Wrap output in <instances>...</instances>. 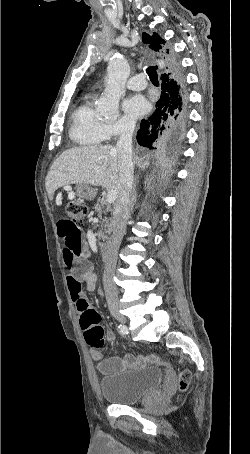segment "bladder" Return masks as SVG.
Returning a JSON list of instances; mask_svg holds the SVG:
<instances>
[{
	"label": "bladder",
	"instance_id": "obj_1",
	"mask_svg": "<svg viewBox=\"0 0 250 454\" xmlns=\"http://www.w3.org/2000/svg\"><path fill=\"white\" fill-rule=\"evenodd\" d=\"M163 372L158 366L139 370L118 371L103 377L99 387L103 398L116 405H132L157 391L162 383Z\"/></svg>",
	"mask_w": 250,
	"mask_h": 454
}]
</instances>
